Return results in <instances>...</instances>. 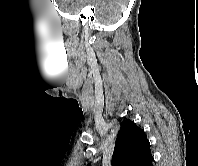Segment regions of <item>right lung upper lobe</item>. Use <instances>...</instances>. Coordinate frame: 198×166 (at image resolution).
<instances>
[{"mask_svg":"<svg viewBox=\"0 0 198 166\" xmlns=\"http://www.w3.org/2000/svg\"><path fill=\"white\" fill-rule=\"evenodd\" d=\"M151 156L144 130L133 121H123L116 138L112 166H144Z\"/></svg>","mask_w":198,"mask_h":166,"instance_id":"cb5924a9","label":"right lung upper lobe"}]
</instances>
